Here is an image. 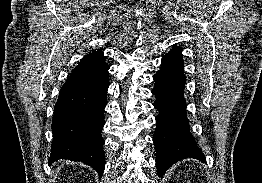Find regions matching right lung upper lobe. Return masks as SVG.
<instances>
[{"label": "right lung upper lobe", "instance_id": "1", "mask_svg": "<svg viewBox=\"0 0 262 183\" xmlns=\"http://www.w3.org/2000/svg\"><path fill=\"white\" fill-rule=\"evenodd\" d=\"M99 62H105L103 53L100 50L89 53L88 55L83 57V59L80 61V63H99Z\"/></svg>", "mask_w": 262, "mask_h": 183}]
</instances>
